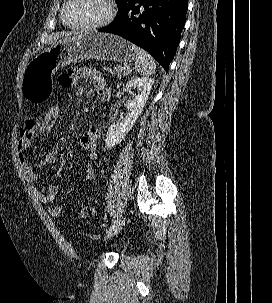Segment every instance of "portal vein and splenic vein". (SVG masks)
<instances>
[{"mask_svg": "<svg viewBox=\"0 0 272 303\" xmlns=\"http://www.w3.org/2000/svg\"><path fill=\"white\" fill-rule=\"evenodd\" d=\"M124 69H129V66H127V65H126V66H124Z\"/></svg>", "mask_w": 272, "mask_h": 303, "instance_id": "portal-vein-and-splenic-vein-1", "label": "portal vein and splenic vein"}]
</instances>
